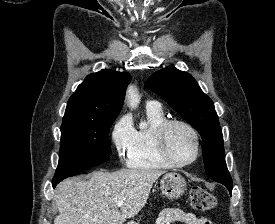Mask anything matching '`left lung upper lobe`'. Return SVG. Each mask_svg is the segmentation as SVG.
Segmentation results:
<instances>
[{
    "label": "left lung upper lobe",
    "mask_w": 275,
    "mask_h": 224,
    "mask_svg": "<svg viewBox=\"0 0 275 224\" xmlns=\"http://www.w3.org/2000/svg\"><path fill=\"white\" fill-rule=\"evenodd\" d=\"M145 88L160 95L200 133L208 176L220 183H232L225 163L223 135L214 104L202 92L195 79L175 67H167L151 75Z\"/></svg>",
    "instance_id": "left-lung-upper-lobe-1"
}]
</instances>
